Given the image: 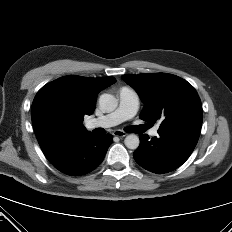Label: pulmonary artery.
Instances as JSON below:
<instances>
[{
  "instance_id": "pulmonary-artery-1",
  "label": "pulmonary artery",
  "mask_w": 232,
  "mask_h": 232,
  "mask_svg": "<svg viewBox=\"0 0 232 232\" xmlns=\"http://www.w3.org/2000/svg\"><path fill=\"white\" fill-rule=\"evenodd\" d=\"M118 100L119 104L115 111L87 121L85 124L86 128L95 129L114 127L136 115L139 109L140 100L138 94L134 90L128 87H122L118 92ZM158 129L159 125L154 126L149 134L151 136H156L158 134Z\"/></svg>"
}]
</instances>
